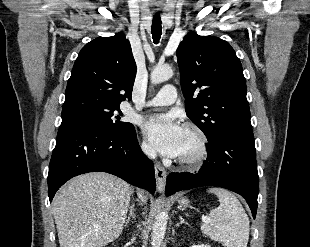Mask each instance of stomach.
<instances>
[{"label":"stomach","instance_id":"obj_1","mask_svg":"<svg viewBox=\"0 0 310 247\" xmlns=\"http://www.w3.org/2000/svg\"><path fill=\"white\" fill-rule=\"evenodd\" d=\"M178 203H179L180 207L186 208L189 205V200L185 197H182V198L178 199Z\"/></svg>","mask_w":310,"mask_h":247}]
</instances>
